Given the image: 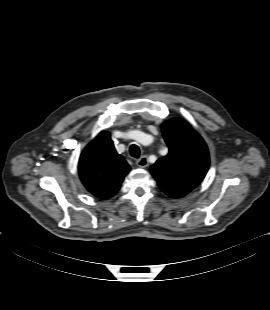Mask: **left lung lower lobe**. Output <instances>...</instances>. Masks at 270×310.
Instances as JSON below:
<instances>
[{
    "mask_svg": "<svg viewBox=\"0 0 270 310\" xmlns=\"http://www.w3.org/2000/svg\"><path fill=\"white\" fill-rule=\"evenodd\" d=\"M164 192L174 198H180L188 194L189 192L187 191H176V190H164Z\"/></svg>",
    "mask_w": 270,
    "mask_h": 310,
    "instance_id": "0a47b994",
    "label": "left lung lower lobe"
}]
</instances>
